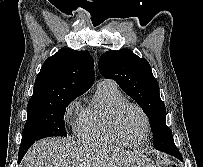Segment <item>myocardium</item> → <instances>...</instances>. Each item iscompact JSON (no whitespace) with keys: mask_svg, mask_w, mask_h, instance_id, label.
Segmentation results:
<instances>
[{"mask_svg":"<svg viewBox=\"0 0 203 167\" xmlns=\"http://www.w3.org/2000/svg\"><path fill=\"white\" fill-rule=\"evenodd\" d=\"M135 108L143 117L144 124H145V134L144 137L141 141L139 142H130L127 139L124 138V136L121 134L118 128V120L120 115L123 113V111L127 108ZM109 129L111 133L119 140L121 141L124 145L130 146V147H140L144 145L150 134V119L149 116L147 115L146 111L137 103L131 102V101H122L117 105V107L114 109L112 112L110 119H109Z\"/></svg>","mask_w":203,"mask_h":167,"instance_id":"1","label":"myocardium"}]
</instances>
